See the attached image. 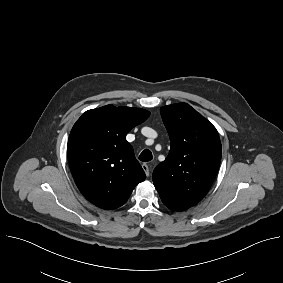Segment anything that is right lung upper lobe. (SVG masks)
<instances>
[{
    "label": "right lung upper lobe",
    "mask_w": 283,
    "mask_h": 283,
    "mask_svg": "<svg viewBox=\"0 0 283 283\" xmlns=\"http://www.w3.org/2000/svg\"><path fill=\"white\" fill-rule=\"evenodd\" d=\"M150 112L107 105L88 110L74 124L68 140L73 178L84 197L103 209L125 204L146 175L125 139Z\"/></svg>",
    "instance_id": "obj_1"
}]
</instances>
